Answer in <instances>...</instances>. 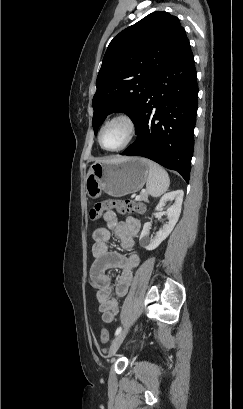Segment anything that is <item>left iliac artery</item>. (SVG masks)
Segmentation results:
<instances>
[{"label": "left iliac artery", "mask_w": 243, "mask_h": 409, "mask_svg": "<svg viewBox=\"0 0 243 409\" xmlns=\"http://www.w3.org/2000/svg\"><path fill=\"white\" fill-rule=\"evenodd\" d=\"M122 331V327H118L115 331V336H117Z\"/></svg>", "instance_id": "44dca946"}]
</instances>
